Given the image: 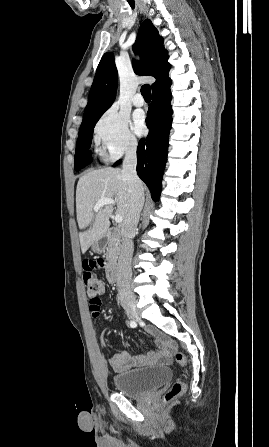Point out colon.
<instances>
[{
  "instance_id": "1",
  "label": "colon",
  "mask_w": 269,
  "mask_h": 447,
  "mask_svg": "<svg viewBox=\"0 0 269 447\" xmlns=\"http://www.w3.org/2000/svg\"><path fill=\"white\" fill-rule=\"evenodd\" d=\"M105 265L104 257H86L84 263V270L86 271L83 276V284L86 291V296L92 298L89 310L94 313L93 317L97 318L99 310V296L105 293V283L103 280L99 279L93 271H101L102 266ZM169 350V348H168ZM175 361L181 366H186L187 358L186 355L181 351H176L174 353ZM185 390V383L182 380H177L173 383L171 388L165 393L163 397L164 404H170L174 402L179 396L183 394Z\"/></svg>"
}]
</instances>
